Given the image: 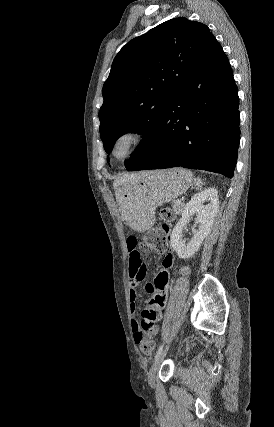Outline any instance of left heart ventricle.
<instances>
[{
  "mask_svg": "<svg viewBox=\"0 0 274 427\" xmlns=\"http://www.w3.org/2000/svg\"><path fill=\"white\" fill-rule=\"evenodd\" d=\"M128 148H129V141H128V139H121L117 143V145L115 147V151H114L115 152V156L117 158L124 157L126 155L127 151H128Z\"/></svg>",
  "mask_w": 274,
  "mask_h": 427,
  "instance_id": "b2bd125f",
  "label": "left heart ventricle"
}]
</instances>
